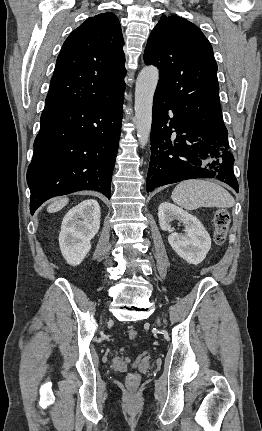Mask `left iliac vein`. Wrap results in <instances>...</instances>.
<instances>
[{
	"instance_id": "obj_1",
	"label": "left iliac vein",
	"mask_w": 262,
	"mask_h": 431,
	"mask_svg": "<svg viewBox=\"0 0 262 431\" xmlns=\"http://www.w3.org/2000/svg\"><path fill=\"white\" fill-rule=\"evenodd\" d=\"M157 323H158V325H160V322H159V320L157 321Z\"/></svg>"
}]
</instances>
